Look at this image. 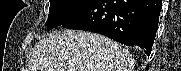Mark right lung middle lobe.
<instances>
[{"label": "right lung middle lobe", "instance_id": "1", "mask_svg": "<svg viewBox=\"0 0 181 71\" xmlns=\"http://www.w3.org/2000/svg\"><path fill=\"white\" fill-rule=\"evenodd\" d=\"M94 0H50L48 20L45 26L48 29L57 27L75 16Z\"/></svg>", "mask_w": 181, "mask_h": 71}]
</instances>
